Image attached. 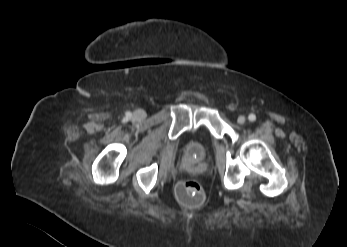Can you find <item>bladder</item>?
<instances>
[{"label": "bladder", "instance_id": "1", "mask_svg": "<svg viewBox=\"0 0 347 247\" xmlns=\"http://www.w3.org/2000/svg\"><path fill=\"white\" fill-rule=\"evenodd\" d=\"M209 148V138L206 133L202 137L193 139L186 144V152L191 161H200L205 158Z\"/></svg>", "mask_w": 347, "mask_h": 247}]
</instances>
